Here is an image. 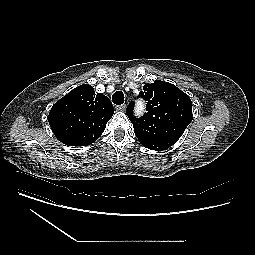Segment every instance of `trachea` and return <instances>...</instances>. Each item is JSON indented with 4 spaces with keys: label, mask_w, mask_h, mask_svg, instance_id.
Listing matches in <instances>:
<instances>
[{
    "label": "trachea",
    "mask_w": 255,
    "mask_h": 255,
    "mask_svg": "<svg viewBox=\"0 0 255 255\" xmlns=\"http://www.w3.org/2000/svg\"><path fill=\"white\" fill-rule=\"evenodd\" d=\"M112 101L114 104L116 105H121L124 103V94L121 91H116L113 95H112Z\"/></svg>",
    "instance_id": "obj_1"
}]
</instances>
